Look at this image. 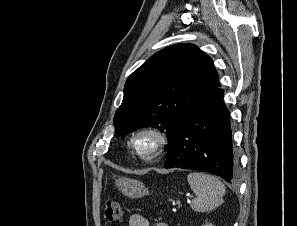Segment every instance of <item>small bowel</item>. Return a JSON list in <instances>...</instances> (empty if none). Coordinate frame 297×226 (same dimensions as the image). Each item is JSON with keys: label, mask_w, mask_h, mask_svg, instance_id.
Here are the masks:
<instances>
[{"label": "small bowel", "mask_w": 297, "mask_h": 226, "mask_svg": "<svg viewBox=\"0 0 297 226\" xmlns=\"http://www.w3.org/2000/svg\"><path fill=\"white\" fill-rule=\"evenodd\" d=\"M129 226H150L149 221L140 214H133L129 217ZM155 226H167L165 223H158Z\"/></svg>", "instance_id": "small-bowel-1"}]
</instances>
